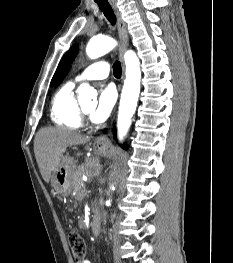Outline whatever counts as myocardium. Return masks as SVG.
<instances>
[{
    "label": "myocardium",
    "instance_id": "obj_1",
    "mask_svg": "<svg viewBox=\"0 0 233 263\" xmlns=\"http://www.w3.org/2000/svg\"><path fill=\"white\" fill-rule=\"evenodd\" d=\"M81 114L84 117L88 115V113L83 108L81 109Z\"/></svg>",
    "mask_w": 233,
    "mask_h": 263
}]
</instances>
